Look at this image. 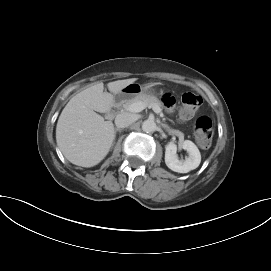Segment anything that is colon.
Returning a JSON list of instances; mask_svg holds the SVG:
<instances>
[{
	"label": "colon",
	"instance_id": "colon-1",
	"mask_svg": "<svg viewBox=\"0 0 271 271\" xmlns=\"http://www.w3.org/2000/svg\"><path fill=\"white\" fill-rule=\"evenodd\" d=\"M166 103H170L169 96L165 99ZM202 104L201 96L194 93H185L181 99V108L179 116L181 120H187L193 117ZM195 138L202 148H208L211 145L213 137L212 121L207 116H200L196 119L194 125Z\"/></svg>",
	"mask_w": 271,
	"mask_h": 271
}]
</instances>
